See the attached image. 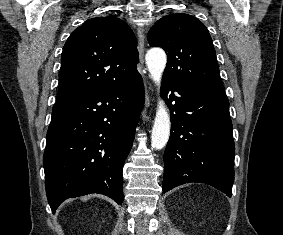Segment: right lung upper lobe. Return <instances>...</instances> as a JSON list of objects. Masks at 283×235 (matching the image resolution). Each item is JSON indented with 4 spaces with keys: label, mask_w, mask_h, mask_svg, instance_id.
I'll list each match as a JSON object with an SVG mask.
<instances>
[{
    "label": "right lung upper lobe",
    "mask_w": 283,
    "mask_h": 235,
    "mask_svg": "<svg viewBox=\"0 0 283 235\" xmlns=\"http://www.w3.org/2000/svg\"><path fill=\"white\" fill-rule=\"evenodd\" d=\"M137 62V40L124 21L112 15L88 19L64 45L56 104L130 79Z\"/></svg>",
    "instance_id": "1"
}]
</instances>
